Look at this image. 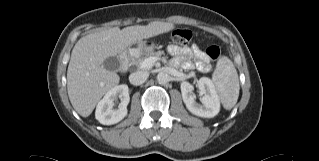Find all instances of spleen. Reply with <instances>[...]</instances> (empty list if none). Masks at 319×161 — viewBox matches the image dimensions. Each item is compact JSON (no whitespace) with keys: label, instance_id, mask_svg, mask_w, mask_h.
Listing matches in <instances>:
<instances>
[{"label":"spleen","instance_id":"spleen-1","mask_svg":"<svg viewBox=\"0 0 319 161\" xmlns=\"http://www.w3.org/2000/svg\"><path fill=\"white\" fill-rule=\"evenodd\" d=\"M214 87L226 110L232 109L239 97V79L233 62L226 56L219 58L212 75Z\"/></svg>","mask_w":319,"mask_h":161}]
</instances>
